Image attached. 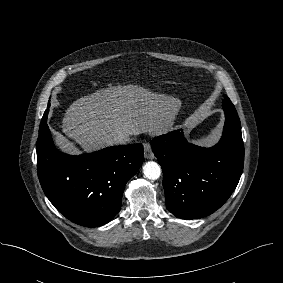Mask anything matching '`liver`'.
I'll return each mask as SVG.
<instances>
[{
    "label": "liver",
    "instance_id": "1",
    "mask_svg": "<svg viewBox=\"0 0 283 283\" xmlns=\"http://www.w3.org/2000/svg\"><path fill=\"white\" fill-rule=\"evenodd\" d=\"M180 107V99L138 85L111 86L74 101L65 112L62 130L83 151L92 152L112 145L118 134L164 132ZM59 140L73 148L65 137Z\"/></svg>",
    "mask_w": 283,
    "mask_h": 283
}]
</instances>
